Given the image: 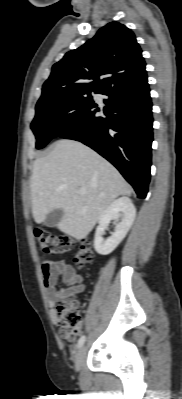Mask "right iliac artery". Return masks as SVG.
<instances>
[{
    "instance_id": "1",
    "label": "right iliac artery",
    "mask_w": 182,
    "mask_h": 399,
    "mask_svg": "<svg viewBox=\"0 0 182 399\" xmlns=\"http://www.w3.org/2000/svg\"><path fill=\"white\" fill-rule=\"evenodd\" d=\"M85 336L83 335V336H81L80 338H79V340H78V342H77V347L78 348H80L83 344H84V342H85Z\"/></svg>"
}]
</instances>
